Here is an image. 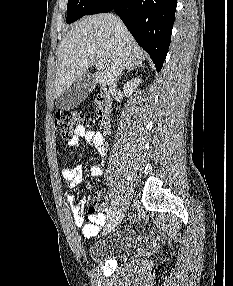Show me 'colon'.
<instances>
[{
    "label": "colon",
    "mask_w": 233,
    "mask_h": 286,
    "mask_svg": "<svg viewBox=\"0 0 233 286\" xmlns=\"http://www.w3.org/2000/svg\"><path fill=\"white\" fill-rule=\"evenodd\" d=\"M93 124V117L80 110H60L54 116L55 128L64 139H70L77 126L90 127Z\"/></svg>",
    "instance_id": "colon-1"
}]
</instances>
